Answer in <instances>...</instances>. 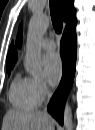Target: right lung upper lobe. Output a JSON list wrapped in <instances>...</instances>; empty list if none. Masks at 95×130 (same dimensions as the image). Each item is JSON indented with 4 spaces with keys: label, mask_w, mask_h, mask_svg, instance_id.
Here are the masks:
<instances>
[{
    "label": "right lung upper lobe",
    "mask_w": 95,
    "mask_h": 130,
    "mask_svg": "<svg viewBox=\"0 0 95 130\" xmlns=\"http://www.w3.org/2000/svg\"><path fill=\"white\" fill-rule=\"evenodd\" d=\"M61 10L63 13V19L66 22L65 32L74 30L77 24L76 11L74 9L73 0H59ZM17 60V52L11 44L8 56H7V70L11 69Z\"/></svg>",
    "instance_id": "right-lung-upper-lobe-1"
}]
</instances>
